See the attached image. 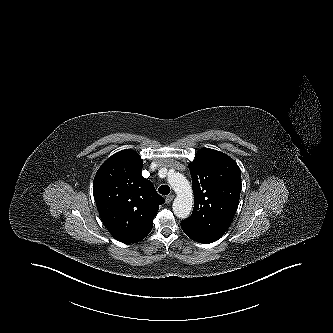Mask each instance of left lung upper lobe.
<instances>
[{
    "mask_svg": "<svg viewBox=\"0 0 333 333\" xmlns=\"http://www.w3.org/2000/svg\"><path fill=\"white\" fill-rule=\"evenodd\" d=\"M194 192L192 215L182 222L214 238H221L237 211L241 172L228 155L209 148L200 149L189 164Z\"/></svg>",
    "mask_w": 333,
    "mask_h": 333,
    "instance_id": "1",
    "label": "left lung upper lobe"
}]
</instances>
